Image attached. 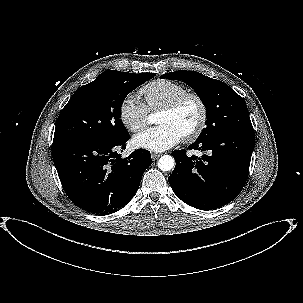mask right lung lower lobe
Masks as SVG:
<instances>
[{"label": "right lung lower lobe", "mask_w": 303, "mask_h": 303, "mask_svg": "<svg viewBox=\"0 0 303 303\" xmlns=\"http://www.w3.org/2000/svg\"><path fill=\"white\" fill-rule=\"evenodd\" d=\"M129 136L117 141L86 139L53 141L52 156L63 189L78 207L105 215L124 207L136 193L150 152L137 149L122 159ZM123 151V150H122Z\"/></svg>", "instance_id": "1"}]
</instances>
